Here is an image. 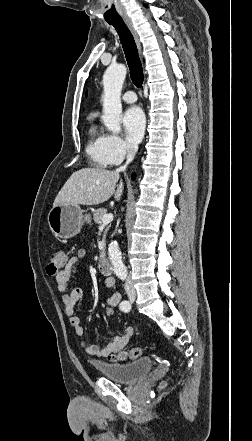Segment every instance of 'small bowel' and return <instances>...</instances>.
Wrapping results in <instances>:
<instances>
[{
    "instance_id": "c3829d8e",
    "label": "small bowel",
    "mask_w": 252,
    "mask_h": 441,
    "mask_svg": "<svg viewBox=\"0 0 252 441\" xmlns=\"http://www.w3.org/2000/svg\"><path fill=\"white\" fill-rule=\"evenodd\" d=\"M85 256V251L80 250L77 254L70 259L65 269L60 271L55 276L57 291L62 294V303L64 307L65 314L69 319L70 325L75 330L76 334L82 335L83 328L80 323V319L76 312V306L78 302L83 297V289L80 287H75L68 293V287L72 275L76 272V264L79 259ZM106 288L113 291L110 295L105 298V305H112L117 307L121 301V295L114 291L115 280L112 277H107L104 281ZM133 334V328L131 326L125 327L121 335L115 336L109 343L104 344L101 347L96 345H88L85 341L81 342V347L85 350L88 355H91L97 359L109 357L121 349H123L130 337Z\"/></svg>"
}]
</instances>
